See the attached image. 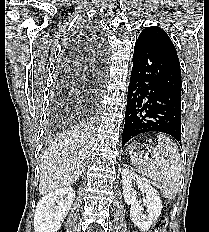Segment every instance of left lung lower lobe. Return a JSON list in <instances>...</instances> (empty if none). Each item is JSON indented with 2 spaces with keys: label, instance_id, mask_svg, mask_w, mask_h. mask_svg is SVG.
<instances>
[{
  "label": "left lung lower lobe",
  "instance_id": "obj_1",
  "mask_svg": "<svg viewBox=\"0 0 209 232\" xmlns=\"http://www.w3.org/2000/svg\"><path fill=\"white\" fill-rule=\"evenodd\" d=\"M146 132L169 134L181 145V70L174 56L136 41L122 147Z\"/></svg>",
  "mask_w": 209,
  "mask_h": 232
}]
</instances>
